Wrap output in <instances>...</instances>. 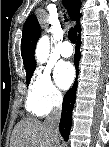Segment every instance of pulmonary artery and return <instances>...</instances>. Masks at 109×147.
<instances>
[{
    "instance_id": "1",
    "label": "pulmonary artery",
    "mask_w": 109,
    "mask_h": 147,
    "mask_svg": "<svg viewBox=\"0 0 109 147\" xmlns=\"http://www.w3.org/2000/svg\"><path fill=\"white\" fill-rule=\"evenodd\" d=\"M59 53L62 57L68 58L73 54V47L69 41H64L59 47Z\"/></svg>"
}]
</instances>
